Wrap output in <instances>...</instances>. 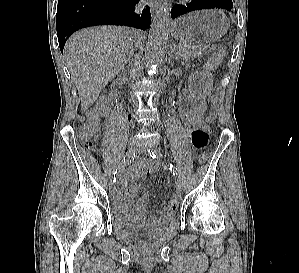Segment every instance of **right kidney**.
<instances>
[{
    "label": "right kidney",
    "mask_w": 299,
    "mask_h": 273,
    "mask_svg": "<svg viewBox=\"0 0 299 273\" xmlns=\"http://www.w3.org/2000/svg\"><path fill=\"white\" fill-rule=\"evenodd\" d=\"M109 104H110L109 99L105 96H101L98 99L97 107L100 110H105L109 106Z\"/></svg>",
    "instance_id": "obj_1"
}]
</instances>
